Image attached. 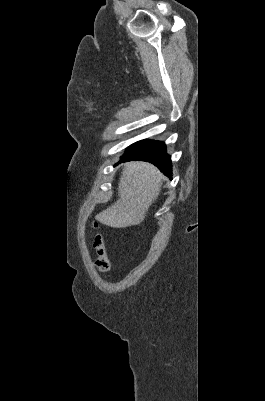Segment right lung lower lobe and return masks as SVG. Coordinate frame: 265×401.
<instances>
[{
  "label": "right lung lower lobe",
  "instance_id": "right-lung-lower-lobe-1",
  "mask_svg": "<svg viewBox=\"0 0 265 401\" xmlns=\"http://www.w3.org/2000/svg\"><path fill=\"white\" fill-rule=\"evenodd\" d=\"M131 160L151 162L165 175L170 177L172 174L171 157L166 153V146L163 142L142 140L132 144L119 162Z\"/></svg>",
  "mask_w": 265,
  "mask_h": 401
}]
</instances>
